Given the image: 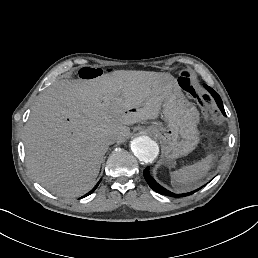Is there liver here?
Segmentation results:
<instances>
[{
    "label": "liver",
    "mask_w": 258,
    "mask_h": 258,
    "mask_svg": "<svg viewBox=\"0 0 258 258\" xmlns=\"http://www.w3.org/2000/svg\"><path fill=\"white\" fill-rule=\"evenodd\" d=\"M172 77L118 70L90 80L54 82L33 105L24 128L32 176L61 197L86 193L108 150L105 137L113 133L122 142L130 134L128 125L158 118Z\"/></svg>",
    "instance_id": "liver-1"
}]
</instances>
